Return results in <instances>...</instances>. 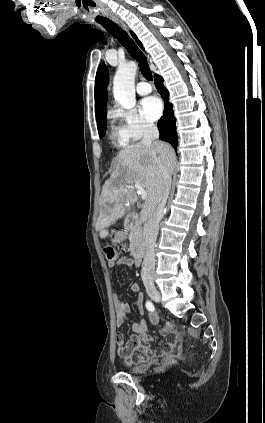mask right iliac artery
Segmentation results:
<instances>
[{
  "instance_id": "obj_1",
  "label": "right iliac artery",
  "mask_w": 265,
  "mask_h": 423,
  "mask_svg": "<svg viewBox=\"0 0 265 423\" xmlns=\"http://www.w3.org/2000/svg\"><path fill=\"white\" fill-rule=\"evenodd\" d=\"M146 308H147L149 311L154 310V305H153V303H152L151 301H147V302H146Z\"/></svg>"
}]
</instances>
